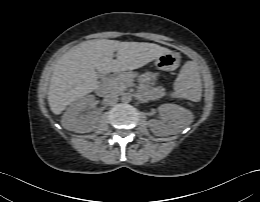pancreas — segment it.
<instances>
[{"label": "pancreas", "instance_id": "cf45deb5", "mask_svg": "<svg viewBox=\"0 0 260 202\" xmlns=\"http://www.w3.org/2000/svg\"><path fill=\"white\" fill-rule=\"evenodd\" d=\"M136 76L133 72H126L119 77L105 83L109 92L122 93L129 86V82Z\"/></svg>", "mask_w": 260, "mask_h": 202}]
</instances>
